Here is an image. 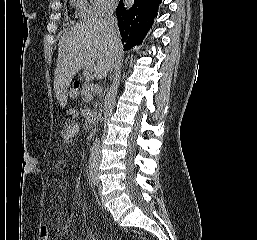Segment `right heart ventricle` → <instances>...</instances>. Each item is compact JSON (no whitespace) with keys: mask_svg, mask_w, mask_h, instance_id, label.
I'll return each instance as SVG.
<instances>
[{"mask_svg":"<svg viewBox=\"0 0 257 240\" xmlns=\"http://www.w3.org/2000/svg\"><path fill=\"white\" fill-rule=\"evenodd\" d=\"M74 4L81 15L88 13L89 5L86 0H74Z\"/></svg>","mask_w":257,"mask_h":240,"instance_id":"right-heart-ventricle-1","label":"right heart ventricle"}]
</instances>
